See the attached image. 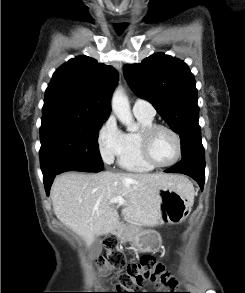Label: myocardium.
<instances>
[{
	"label": "myocardium",
	"mask_w": 245,
	"mask_h": 293,
	"mask_svg": "<svg viewBox=\"0 0 245 293\" xmlns=\"http://www.w3.org/2000/svg\"><path fill=\"white\" fill-rule=\"evenodd\" d=\"M160 129H164L168 131L174 138L177 146V152L175 157L168 163H158L156 162L150 152V146L153 135ZM139 144H140V151L143 159L153 166L154 168H165L174 165L181 157L182 154V141L180 135L176 130L172 127L165 125V124H153L149 127L142 129L139 133Z\"/></svg>",
	"instance_id": "f54148a6"
}]
</instances>
